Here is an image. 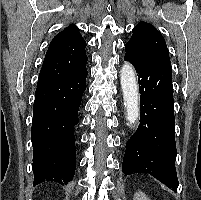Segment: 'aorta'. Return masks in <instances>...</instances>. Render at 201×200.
<instances>
[{
    "mask_svg": "<svg viewBox=\"0 0 201 200\" xmlns=\"http://www.w3.org/2000/svg\"><path fill=\"white\" fill-rule=\"evenodd\" d=\"M120 81L126 107V117L128 123L132 125L139 116V95L135 70L130 63H124L122 66Z\"/></svg>",
    "mask_w": 201,
    "mask_h": 200,
    "instance_id": "1",
    "label": "aorta"
}]
</instances>
